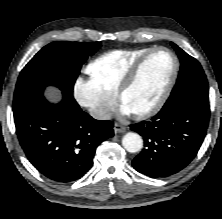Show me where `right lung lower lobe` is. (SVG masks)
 I'll list each match as a JSON object with an SVG mask.
<instances>
[{
  "label": "right lung lower lobe",
  "instance_id": "obj_1",
  "mask_svg": "<svg viewBox=\"0 0 222 219\" xmlns=\"http://www.w3.org/2000/svg\"><path fill=\"white\" fill-rule=\"evenodd\" d=\"M58 104L44 96L13 110L16 133L28 160L60 183L81 178L93 165L97 146L113 136V123L82 111L71 91Z\"/></svg>",
  "mask_w": 222,
  "mask_h": 219
}]
</instances>
